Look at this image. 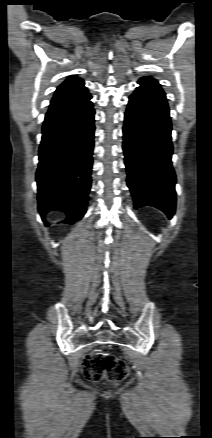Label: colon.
<instances>
[{
	"label": "colon",
	"instance_id": "colon-1",
	"mask_svg": "<svg viewBox=\"0 0 212 438\" xmlns=\"http://www.w3.org/2000/svg\"><path fill=\"white\" fill-rule=\"evenodd\" d=\"M83 373L91 381L105 379L119 384L128 377L129 367L124 360L111 354L93 351L84 360Z\"/></svg>",
	"mask_w": 212,
	"mask_h": 438
}]
</instances>
